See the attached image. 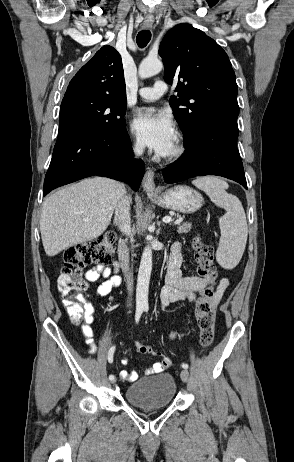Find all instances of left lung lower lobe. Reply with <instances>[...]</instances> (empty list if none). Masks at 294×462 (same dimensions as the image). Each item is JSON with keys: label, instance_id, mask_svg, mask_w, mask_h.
I'll use <instances>...</instances> for the list:
<instances>
[{"label": "left lung lower lobe", "instance_id": "0a47b994", "mask_svg": "<svg viewBox=\"0 0 294 462\" xmlns=\"http://www.w3.org/2000/svg\"><path fill=\"white\" fill-rule=\"evenodd\" d=\"M239 107L224 106L210 114L194 135L184 141L186 155L163 169L166 183L204 175L232 179L247 189L236 146Z\"/></svg>", "mask_w": 294, "mask_h": 462}]
</instances>
